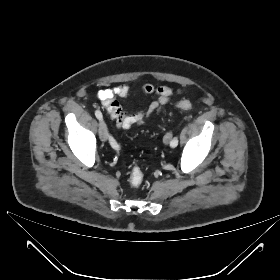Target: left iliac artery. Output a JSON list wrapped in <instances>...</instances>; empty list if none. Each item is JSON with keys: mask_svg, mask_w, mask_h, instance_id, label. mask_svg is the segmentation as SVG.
<instances>
[{"mask_svg": "<svg viewBox=\"0 0 280 280\" xmlns=\"http://www.w3.org/2000/svg\"><path fill=\"white\" fill-rule=\"evenodd\" d=\"M177 145H178V138H177V137H174V138L172 139V141L170 142V146H171L172 148H175Z\"/></svg>", "mask_w": 280, "mask_h": 280, "instance_id": "left-iliac-artery-1", "label": "left iliac artery"}]
</instances>
